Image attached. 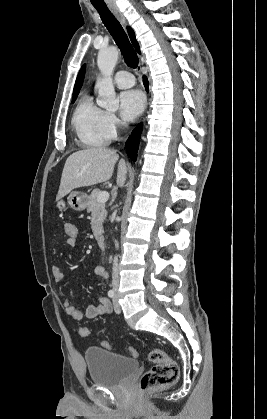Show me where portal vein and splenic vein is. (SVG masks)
I'll return each mask as SVG.
<instances>
[{"mask_svg": "<svg viewBox=\"0 0 267 419\" xmlns=\"http://www.w3.org/2000/svg\"><path fill=\"white\" fill-rule=\"evenodd\" d=\"M109 199V193L107 191H102L98 194V202L105 203Z\"/></svg>", "mask_w": 267, "mask_h": 419, "instance_id": "1", "label": "portal vein and splenic vein"}]
</instances>
